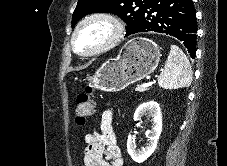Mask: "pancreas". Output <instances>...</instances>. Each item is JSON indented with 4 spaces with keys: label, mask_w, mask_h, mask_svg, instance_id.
<instances>
[{
    "label": "pancreas",
    "mask_w": 227,
    "mask_h": 166,
    "mask_svg": "<svg viewBox=\"0 0 227 166\" xmlns=\"http://www.w3.org/2000/svg\"><path fill=\"white\" fill-rule=\"evenodd\" d=\"M145 90H147V88H143V87H141L139 85L135 88V91H139V92H143Z\"/></svg>",
    "instance_id": "1"
}]
</instances>
